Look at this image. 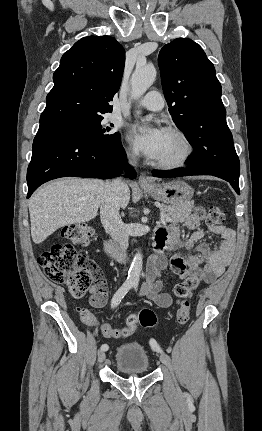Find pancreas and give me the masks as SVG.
Instances as JSON below:
<instances>
[{
  "label": "pancreas",
  "instance_id": "pancreas-1",
  "mask_svg": "<svg viewBox=\"0 0 262 431\" xmlns=\"http://www.w3.org/2000/svg\"><path fill=\"white\" fill-rule=\"evenodd\" d=\"M163 214L170 217L171 223L183 222L191 213V205L167 206L161 205Z\"/></svg>",
  "mask_w": 262,
  "mask_h": 431
}]
</instances>
